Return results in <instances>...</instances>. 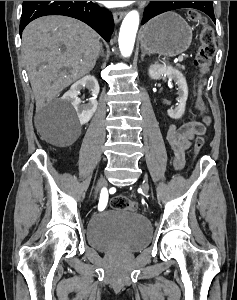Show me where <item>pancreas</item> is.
<instances>
[{
    "label": "pancreas",
    "instance_id": "cf45deb5",
    "mask_svg": "<svg viewBox=\"0 0 237 300\" xmlns=\"http://www.w3.org/2000/svg\"><path fill=\"white\" fill-rule=\"evenodd\" d=\"M178 67H183V65H178Z\"/></svg>",
    "mask_w": 237,
    "mask_h": 300
}]
</instances>
